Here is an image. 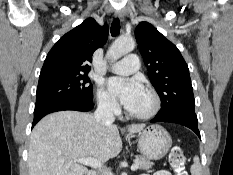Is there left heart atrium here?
Wrapping results in <instances>:
<instances>
[{"label":"left heart atrium","mask_w":233,"mask_h":175,"mask_svg":"<svg viewBox=\"0 0 233 175\" xmlns=\"http://www.w3.org/2000/svg\"><path fill=\"white\" fill-rule=\"evenodd\" d=\"M108 86L126 108L132 106L144 92L141 82L134 78L113 77L109 79Z\"/></svg>","instance_id":"39dd6f15"}]
</instances>
